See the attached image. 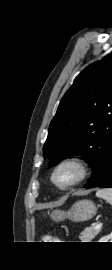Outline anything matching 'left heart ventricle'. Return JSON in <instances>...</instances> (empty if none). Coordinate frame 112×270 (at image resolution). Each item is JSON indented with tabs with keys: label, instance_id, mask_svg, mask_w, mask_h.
<instances>
[{
	"label": "left heart ventricle",
	"instance_id": "1",
	"mask_svg": "<svg viewBox=\"0 0 112 270\" xmlns=\"http://www.w3.org/2000/svg\"><path fill=\"white\" fill-rule=\"evenodd\" d=\"M76 175V172L72 168H66L57 175V181L60 184H65L71 181Z\"/></svg>",
	"mask_w": 112,
	"mask_h": 270
}]
</instances>
